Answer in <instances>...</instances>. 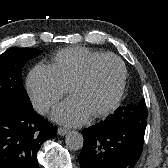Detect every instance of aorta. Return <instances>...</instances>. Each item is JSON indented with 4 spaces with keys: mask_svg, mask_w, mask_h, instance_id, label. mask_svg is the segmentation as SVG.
I'll return each instance as SVG.
<instances>
[{
    "mask_svg": "<svg viewBox=\"0 0 168 168\" xmlns=\"http://www.w3.org/2000/svg\"><path fill=\"white\" fill-rule=\"evenodd\" d=\"M65 142L70 150H79L83 147L84 139L81 133L71 131L66 135Z\"/></svg>",
    "mask_w": 168,
    "mask_h": 168,
    "instance_id": "obj_1",
    "label": "aorta"
}]
</instances>
